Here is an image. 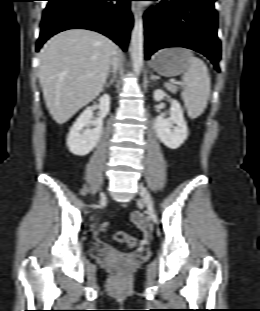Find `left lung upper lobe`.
<instances>
[{
	"instance_id": "1",
	"label": "left lung upper lobe",
	"mask_w": 260,
	"mask_h": 311,
	"mask_svg": "<svg viewBox=\"0 0 260 311\" xmlns=\"http://www.w3.org/2000/svg\"><path fill=\"white\" fill-rule=\"evenodd\" d=\"M206 1H209V2H215L216 0H206Z\"/></svg>"
}]
</instances>
